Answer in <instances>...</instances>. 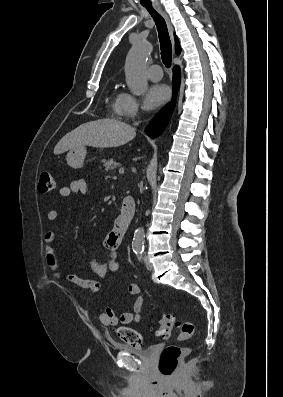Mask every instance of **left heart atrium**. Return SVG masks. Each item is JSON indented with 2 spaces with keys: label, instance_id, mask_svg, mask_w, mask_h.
<instances>
[{
  "label": "left heart atrium",
  "instance_id": "1",
  "mask_svg": "<svg viewBox=\"0 0 283 397\" xmlns=\"http://www.w3.org/2000/svg\"><path fill=\"white\" fill-rule=\"evenodd\" d=\"M169 96V89L163 84H155L146 92L144 105L146 109L152 110L159 107Z\"/></svg>",
  "mask_w": 283,
  "mask_h": 397
}]
</instances>
